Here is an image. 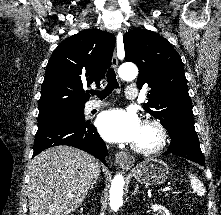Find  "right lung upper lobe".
<instances>
[{
    "label": "right lung upper lobe",
    "instance_id": "1",
    "mask_svg": "<svg viewBox=\"0 0 221 215\" xmlns=\"http://www.w3.org/2000/svg\"><path fill=\"white\" fill-rule=\"evenodd\" d=\"M115 36L98 29L84 30L59 44L46 67L39 101V116L84 107L86 87H100L111 66Z\"/></svg>",
    "mask_w": 221,
    "mask_h": 215
}]
</instances>
